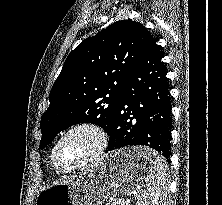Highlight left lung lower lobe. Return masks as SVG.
I'll list each match as a JSON object with an SVG mask.
<instances>
[{"mask_svg":"<svg viewBox=\"0 0 222 205\" xmlns=\"http://www.w3.org/2000/svg\"><path fill=\"white\" fill-rule=\"evenodd\" d=\"M150 36L123 86L107 151L131 145L149 146L167 161L171 155L172 104L167 71Z\"/></svg>","mask_w":222,"mask_h":205,"instance_id":"left-lung-lower-lobe-1","label":"left lung lower lobe"}]
</instances>
